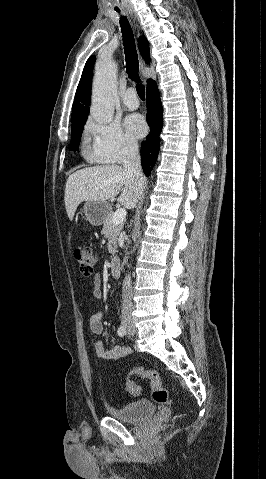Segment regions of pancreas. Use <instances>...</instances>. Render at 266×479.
Masks as SVG:
<instances>
[{"instance_id":"1","label":"pancreas","mask_w":266,"mask_h":479,"mask_svg":"<svg viewBox=\"0 0 266 479\" xmlns=\"http://www.w3.org/2000/svg\"><path fill=\"white\" fill-rule=\"evenodd\" d=\"M114 213L110 212L104 222L101 233L108 239V251L115 255L117 252L118 236L123 228V223L115 224L112 221Z\"/></svg>"}]
</instances>
